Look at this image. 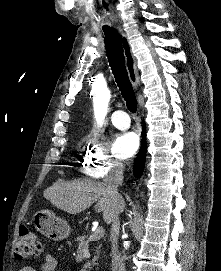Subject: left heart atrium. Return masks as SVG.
Listing matches in <instances>:
<instances>
[{
  "mask_svg": "<svg viewBox=\"0 0 221 271\" xmlns=\"http://www.w3.org/2000/svg\"><path fill=\"white\" fill-rule=\"evenodd\" d=\"M173 87H175V85ZM170 94H177V92H170ZM138 141L139 136L136 132L130 131L120 134L117 138L116 145H113L114 153H117V157H128V155L135 153Z\"/></svg>",
  "mask_w": 221,
  "mask_h": 271,
  "instance_id": "left-heart-atrium-1",
  "label": "left heart atrium"
}]
</instances>
